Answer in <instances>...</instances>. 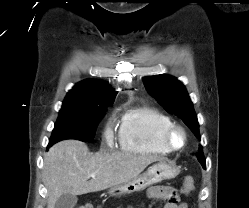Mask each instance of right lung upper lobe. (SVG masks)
I'll return each instance as SVG.
<instances>
[{"mask_svg":"<svg viewBox=\"0 0 249 208\" xmlns=\"http://www.w3.org/2000/svg\"><path fill=\"white\" fill-rule=\"evenodd\" d=\"M116 92L100 81L94 79L77 83L67 94L62 107L89 106L106 108L113 103Z\"/></svg>","mask_w":249,"mask_h":208,"instance_id":"1","label":"right lung upper lobe"}]
</instances>
